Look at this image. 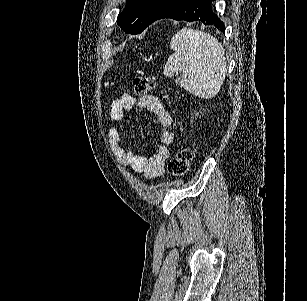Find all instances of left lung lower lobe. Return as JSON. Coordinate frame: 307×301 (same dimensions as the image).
<instances>
[{"mask_svg":"<svg viewBox=\"0 0 307 301\" xmlns=\"http://www.w3.org/2000/svg\"><path fill=\"white\" fill-rule=\"evenodd\" d=\"M212 1L213 0H178L156 20L172 18L175 20H186L188 22L202 21L204 25H214L217 29L225 32L223 22L212 11Z\"/></svg>","mask_w":307,"mask_h":301,"instance_id":"left-lung-lower-lobe-1","label":"left lung lower lobe"}]
</instances>
